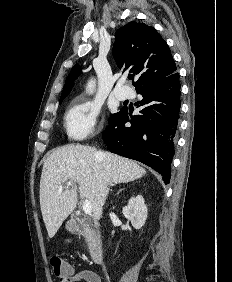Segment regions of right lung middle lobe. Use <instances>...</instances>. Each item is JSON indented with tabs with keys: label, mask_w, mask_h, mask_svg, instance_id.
<instances>
[{
	"label": "right lung middle lobe",
	"mask_w": 232,
	"mask_h": 282,
	"mask_svg": "<svg viewBox=\"0 0 232 282\" xmlns=\"http://www.w3.org/2000/svg\"><path fill=\"white\" fill-rule=\"evenodd\" d=\"M63 100H64V98L60 99V104H61V102H62ZM122 109H123V108H122ZM122 109H121V110H122ZM116 114H117V113H116ZM116 114H112V115L110 116V118L113 117V116H115ZM110 118H109V119H110Z\"/></svg>",
	"instance_id": "dd1d6c3e"
}]
</instances>
